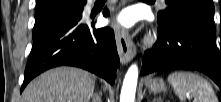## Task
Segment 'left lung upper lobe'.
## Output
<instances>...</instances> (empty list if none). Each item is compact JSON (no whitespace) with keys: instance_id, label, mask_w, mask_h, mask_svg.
I'll return each instance as SVG.
<instances>
[{"instance_id":"left-lung-upper-lobe-1","label":"left lung upper lobe","mask_w":221,"mask_h":102,"mask_svg":"<svg viewBox=\"0 0 221 102\" xmlns=\"http://www.w3.org/2000/svg\"><path fill=\"white\" fill-rule=\"evenodd\" d=\"M168 7L158 13V21L166 22L178 14H186L215 28L212 0H166Z\"/></svg>"}]
</instances>
